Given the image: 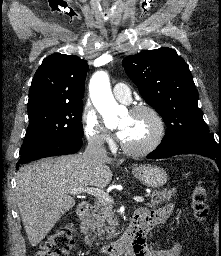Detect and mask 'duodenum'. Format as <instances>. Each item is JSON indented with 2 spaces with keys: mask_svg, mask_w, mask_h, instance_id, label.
<instances>
[{
  "mask_svg": "<svg viewBox=\"0 0 221 256\" xmlns=\"http://www.w3.org/2000/svg\"><path fill=\"white\" fill-rule=\"evenodd\" d=\"M89 208L90 204L88 202H81L78 205L76 212L79 231L87 247L97 249L100 253L106 256H120L121 254L126 253L140 237L144 214L141 211L136 210L128 228L119 239L104 245H97L87 226Z\"/></svg>",
  "mask_w": 221,
  "mask_h": 256,
  "instance_id": "duodenum-1",
  "label": "duodenum"
}]
</instances>
